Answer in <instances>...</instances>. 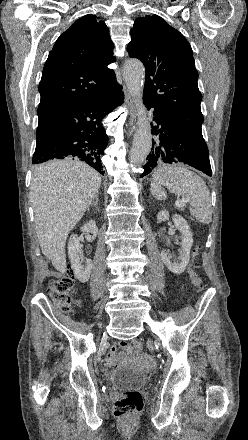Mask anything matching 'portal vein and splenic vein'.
Listing matches in <instances>:
<instances>
[{"instance_id": "18ae733b", "label": "portal vein and splenic vein", "mask_w": 248, "mask_h": 440, "mask_svg": "<svg viewBox=\"0 0 248 440\" xmlns=\"http://www.w3.org/2000/svg\"><path fill=\"white\" fill-rule=\"evenodd\" d=\"M188 200H182V201H176V206H179V207H182V206H184L185 205V203L187 202Z\"/></svg>"}]
</instances>
